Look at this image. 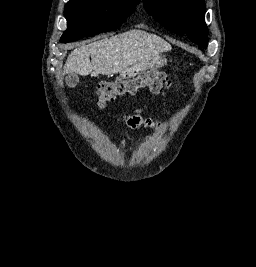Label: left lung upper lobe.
Returning a JSON list of instances; mask_svg holds the SVG:
<instances>
[{
	"label": "left lung upper lobe",
	"mask_w": 256,
	"mask_h": 267,
	"mask_svg": "<svg viewBox=\"0 0 256 267\" xmlns=\"http://www.w3.org/2000/svg\"><path fill=\"white\" fill-rule=\"evenodd\" d=\"M144 7L165 28L186 34L196 44L207 47L204 0H143Z\"/></svg>",
	"instance_id": "obj_1"
}]
</instances>
